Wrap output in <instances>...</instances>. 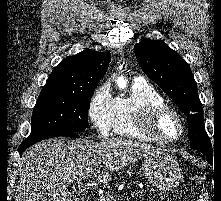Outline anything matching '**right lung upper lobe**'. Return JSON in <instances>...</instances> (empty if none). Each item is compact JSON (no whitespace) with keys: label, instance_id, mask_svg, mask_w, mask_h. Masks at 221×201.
Masks as SVG:
<instances>
[{"label":"right lung upper lobe","instance_id":"right-lung-upper-lobe-1","mask_svg":"<svg viewBox=\"0 0 221 201\" xmlns=\"http://www.w3.org/2000/svg\"><path fill=\"white\" fill-rule=\"evenodd\" d=\"M111 54L91 49L67 57L56 66L42 90L87 93L95 87L107 71Z\"/></svg>","mask_w":221,"mask_h":201}]
</instances>
